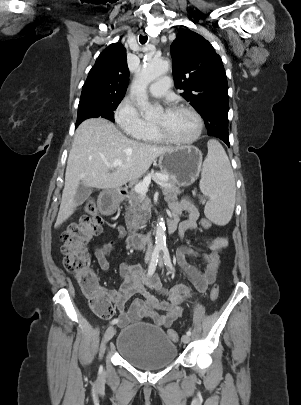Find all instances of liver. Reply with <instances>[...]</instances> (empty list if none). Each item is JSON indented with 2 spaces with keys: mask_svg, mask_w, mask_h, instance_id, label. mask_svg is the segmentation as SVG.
<instances>
[{
  "mask_svg": "<svg viewBox=\"0 0 301 405\" xmlns=\"http://www.w3.org/2000/svg\"><path fill=\"white\" fill-rule=\"evenodd\" d=\"M170 149L129 139L106 119L91 118L82 122L68 156L55 226L59 227L74 213L75 194L80 184L98 189L119 188L142 177L152 162ZM115 159H120L122 164L110 171L107 165Z\"/></svg>",
  "mask_w": 301,
  "mask_h": 405,
  "instance_id": "6515ba94",
  "label": "liver"
}]
</instances>
